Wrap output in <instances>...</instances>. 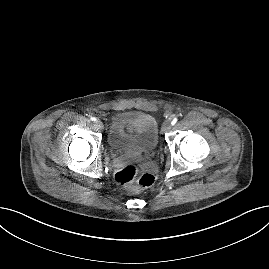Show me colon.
Masks as SVG:
<instances>
[{"instance_id": "obj_1", "label": "colon", "mask_w": 269, "mask_h": 269, "mask_svg": "<svg viewBox=\"0 0 269 269\" xmlns=\"http://www.w3.org/2000/svg\"><path fill=\"white\" fill-rule=\"evenodd\" d=\"M115 180L128 191L135 192L151 187L155 182V176L141 171L135 164H126L117 169Z\"/></svg>"}]
</instances>
